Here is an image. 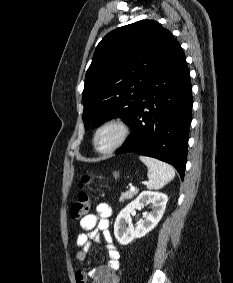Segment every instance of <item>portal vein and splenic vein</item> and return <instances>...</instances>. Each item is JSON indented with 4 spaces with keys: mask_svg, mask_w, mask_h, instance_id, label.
I'll use <instances>...</instances> for the list:
<instances>
[{
    "mask_svg": "<svg viewBox=\"0 0 233 283\" xmlns=\"http://www.w3.org/2000/svg\"><path fill=\"white\" fill-rule=\"evenodd\" d=\"M130 190H131V191H136V188H135L134 186H131V187H130Z\"/></svg>",
    "mask_w": 233,
    "mask_h": 283,
    "instance_id": "obj_1",
    "label": "portal vein and splenic vein"
}]
</instances>
